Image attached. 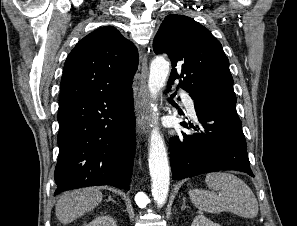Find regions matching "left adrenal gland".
Here are the masks:
<instances>
[{
  "mask_svg": "<svg viewBox=\"0 0 297 226\" xmlns=\"http://www.w3.org/2000/svg\"><path fill=\"white\" fill-rule=\"evenodd\" d=\"M186 208H188V206H186V198L183 197V205H182L181 209L184 210Z\"/></svg>",
  "mask_w": 297,
  "mask_h": 226,
  "instance_id": "1",
  "label": "left adrenal gland"
}]
</instances>
